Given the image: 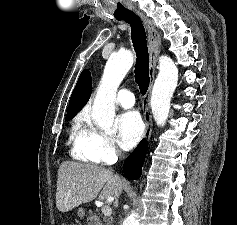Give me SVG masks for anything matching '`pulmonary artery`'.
<instances>
[{
    "label": "pulmonary artery",
    "instance_id": "pulmonary-artery-1",
    "mask_svg": "<svg viewBox=\"0 0 237 225\" xmlns=\"http://www.w3.org/2000/svg\"><path fill=\"white\" fill-rule=\"evenodd\" d=\"M116 102L123 108H131L135 104V97L130 91L122 89L116 95Z\"/></svg>",
    "mask_w": 237,
    "mask_h": 225
}]
</instances>
